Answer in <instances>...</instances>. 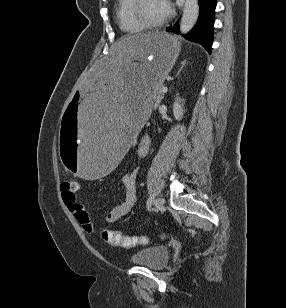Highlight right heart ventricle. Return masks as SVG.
<instances>
[{"mask_svg":"<svg viewBox=\"0 0 286 308\" xmlns=\"http://www.w3.org/2000/svg\"><path fill=\"white\" fill-rule=\"evenodd\" d=\"M134 0H117L116 19L119 28L127 34H136L145 29L140 26L131 15Z\"/></svg>","mask_w":286,"mask_h":308,"instance_id":"obj_1","label":"right heart ventricle"}]
</instances>
